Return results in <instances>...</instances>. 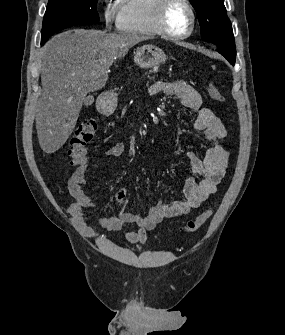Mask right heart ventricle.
Here are the masks:
<instances>
[{
  "mask_svg": "<svg viewBox=\"0 0 285 335\" xmlns=\"http://www.w3.org/2000/svg\"><path fill=\"white\" fill-rule=\"evenodd\" d=\"M132 17L124 26L141 38L164 37L158 24L160 1H131Z\"/></svg>",
  "mask_w": 285,
  "mask_h": 335,
  "instance_id": "right-heart-ventricle-1",
  "label": "right heart ventricle"
}]
</instances>
